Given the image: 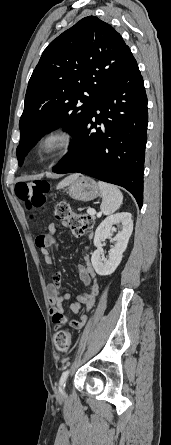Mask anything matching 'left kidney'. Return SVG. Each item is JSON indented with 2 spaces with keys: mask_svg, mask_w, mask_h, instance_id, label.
<instances>
[{
  "mask_svg": "<svg viewBox=\"0 0 171 445\" xmlns=\"http://www.w3.org/2000/svg\"><path fill=\"white\" fill-rule=\"evenodd\" d=\"M115 224L120 225L121 230L113 236L116 232ZM132 231V216L128 212L111 215L100 223L94 236V245L97 249L91 257L92 265L98 275H110L116 270L122 260ZM107 237L110 238V242H115V245L110 248L108 258H103L102 241Z\"/></svg>",
  "mask_w": 171,
  "mask_h": 445,
  "instance_id": "1",
  "label": "left kidney"
}]
</instances>
